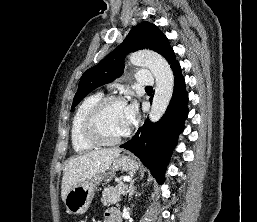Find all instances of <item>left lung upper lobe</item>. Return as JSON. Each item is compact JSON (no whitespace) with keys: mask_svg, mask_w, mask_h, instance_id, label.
<instances>
[{"mask_svg":"<svg viewBox=\"0 0 257 222\" xmlns=\"http://www.w3.org/2000/svg\"><path fill=\"white\" fill-rule=\"evenodd\" d=\"M141 49H150L161 54L169 64L176 60L175 53L162 31L154 24L143 22L134 27L114 51L82 75L72 108L91 91L114 81L122 74L125 53Z\"/></svg>","mask_w":257,"mask_h":222,"instance_id":"obj_1","label":"left lung upper lobe"}]
</instances>
